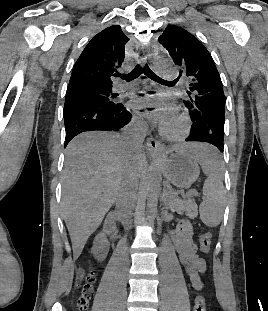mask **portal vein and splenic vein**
Wrapping results in <instances>:
<instances>
[{
  "mask_svg": "<svg viewBox=\"0 0 268 311\" xmlns=\"http://www.w3.org/2000/svg\"><path fill=\"white\" fill-rule=\"evenodd\" d=\"M186 195H198V193L194 191V192H189Z\"/></svg>",
  "mask_w": 268,
  "mask_h": 311,
  "instance_id": "18ae733b",
  "label": "portal vein and splenic vein"
}]
</instances>
